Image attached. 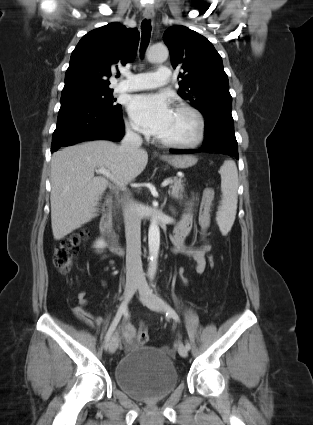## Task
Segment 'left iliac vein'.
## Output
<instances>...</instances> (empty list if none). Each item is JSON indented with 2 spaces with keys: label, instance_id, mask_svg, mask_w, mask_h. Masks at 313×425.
I'll list each match as a JSON object with an SVG mask.
<instances>
[{
  "label": "left iliac vein",
  "instance_id": "1",
  "mask_svg": "<svg viewBox=\"0 0 313 425\" xmlns=\"http://www.w3.org/2000/svg\"><path fill=\"white\" fill-rule=\"evenodd\" d=\"M138 290L140 293V300L151 310L156 312L164 311L163 302L156 297L152 290L149 288L146 282H140L138 286ZM178 353L182 357H186L188 355V349L182 343L178 345Z\"/></svg>",
  "mask_w": 313,
  "mask_h": 425
}]
</instances>
